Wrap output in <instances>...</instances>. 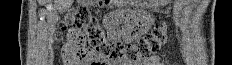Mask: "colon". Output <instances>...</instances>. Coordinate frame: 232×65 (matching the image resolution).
Listing matches in <instances>:
<instances>
[{
    "instance_id": "5ec220e1",
    "label": "colon",
    "mask_w": 232,
    "mask_h": 65,
    "mask_svg": "<svg viewBox=\"0 0 232 65\" xmlns=\"http://www.w3.org/2000/svg\"><path fill=\"white\" fill-rule=\"evenodd\" d=\"M67 27L81 31L76 40L75 56L89 65H112L126 62L134 64L158 51L166 41V28L157 26L146 37H140L136 45H125L117 37H105L99 21L86 7L74 6L69 9L61 23V30ZM62 32H58L60 38ZM86 41L88 47L85 46Z\"/></svg>"
}]
</instances>
